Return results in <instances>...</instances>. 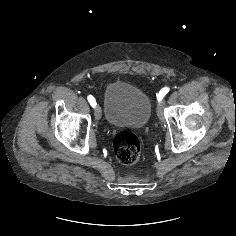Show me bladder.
Listing matches in <instances>:
<instances>
[{
	"label": "bladder",
	"instance_id": "31cf9c89",
	"mask_svg": "<svg viewBox=\"0 0 236 236\" xmlns=\"http://www.w3.org/2000/svg\"><path fill=\"white\" fill-rule=\"evenodd\" d=\"M151 109L149 97L142 90L127 82L116 81L106 88L103 114L111 126L143 127L150 119Z\"/></svg>",
	"mask_w": 236,
	"mask_h": 236
}]
</instances>
